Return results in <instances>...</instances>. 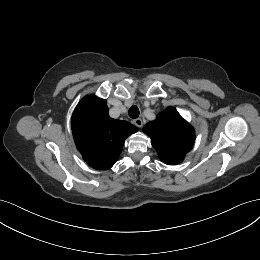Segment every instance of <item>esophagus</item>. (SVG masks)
Instances as JSON below:
<instances>
[{"mask_svg":"<svg viewBox=\"0 0 260 260\" xmlns=\"http://www.w3.org/2000/svg\"><path fill=\"white\" fill-rule=\"evenodd\" d=\"M132 123L139 128L143 126V121L141 118L134 119Z\"/></svg>","mask_w":260,"mask_h":260,"instance_id":"esophagus-1","label":"esophagus"}]
</instances>
